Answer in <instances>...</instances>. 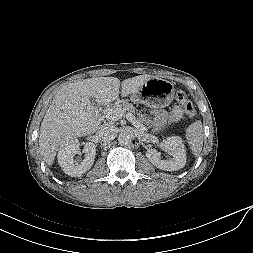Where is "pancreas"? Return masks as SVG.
Masks as SVG:
<instances>
[{"mask_svg": "<svg viewBox=\"0 0 253 253\" xmlns=\"http://www.w3.org/2000/svg\"><path fill=\"white\" fill-rule=\"evenodd\" d=\"M111 109L114 111L121 112L123 115H126L127 113H136L138 116V122H140L141 124H143L144 121H146L147 124L149 123V121L146 120L145 115H142L141 112H136L135 107H133V105L128 103L127 101H124L122 104H116Z\"/></svg>", "mask_w": 253, "mask_h": 253, "instance_id": "pancreas-1", "label": "pancreas"}]
</instances>
